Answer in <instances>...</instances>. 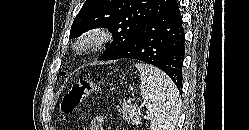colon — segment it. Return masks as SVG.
I'll list each match as a JSON object with an SVG mask.
<instances>
[{
  "label": "colon",
  "mask_w": 249,
  "mask_h": 130,
  "mask_svg": "<svg viewBox=\"0 0 249 130\" xmlns=\"http://www.w3.org/2000/svg\"><path fill=\"white\" fill-rule=\"evenodd\" d=\"M100 88L89 81H79L74 83L65 93L60 104V112L62 116L75 111L82 101L91 93H99Z\"/></svg>",
  "instance_id": "obj_1"
}]
</instances>
